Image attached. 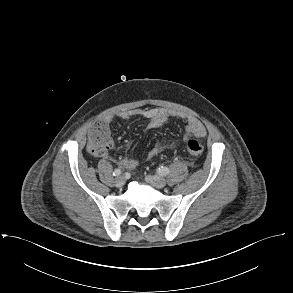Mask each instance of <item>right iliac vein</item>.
<instances>
[{
  "instance_id": "obj_1",
  "label": "right iliac vein",
  "mask_w": 293,
  "mask_h": 293,
  "mask_svg": "<svg viewBox=\"0 0 293 293\" xmlns=\"http://www.w3.org/2000/svg\"><path fill=\"white\" fill-rule=\"evenodd\" d=\"M115 184L117 187H123L125 184V178L122 176H119L115 179Z\"/></svg>"
}]
</instances>
